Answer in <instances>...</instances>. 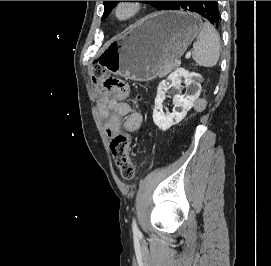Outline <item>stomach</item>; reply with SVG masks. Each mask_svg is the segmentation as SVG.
<instances>
[{
  "instance_id": "0dacf381",
  "label": "stomach",
  "mask_w": 271,
  "mask_h": 266,
  "mask_svg": "<svg viewBox=\"0 0 271 266\" xmlns=\"http://www.w3.org/2000/svg\"><path fill=\"white\" fill-rule=\"evenodd\" d=\"M199 29V18L190 12L153 14L109 41L98 62L114 75L150 81L184 54Z\"/></svg>"
}]
</instances>
